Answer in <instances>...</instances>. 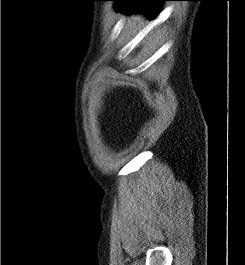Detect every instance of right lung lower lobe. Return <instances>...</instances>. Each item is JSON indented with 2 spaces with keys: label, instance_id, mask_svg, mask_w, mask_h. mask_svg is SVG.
I'll use <instances>...</instances> for the list:
<instances>
[{
  "label": "right lung lower lobe",
  "instance_id": "obj_1",
  "mask_svg": "<svg viewBox=\"0 0 245 265\" xmlns=\"http://www.w3.org/2000/svg\"><path fill=\"white\" fill-rule=\"evenodd\" d=\"M116 1L115 10L124 13L145 12L150 18H155L166 0H113Z\"/></svg>",
  "mask_w": 245,
  "mask_h": 265
}]
</instances>
